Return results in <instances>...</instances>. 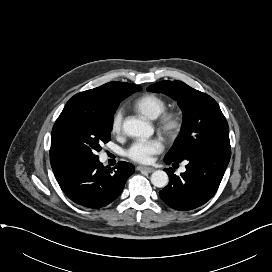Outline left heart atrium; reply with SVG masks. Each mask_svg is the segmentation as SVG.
Masks as SVG:
<instances>
[{
    "label": "left heart atrium",
    "mask_w": 272,
    "mask_h": 272,
    "mask_svg": "<svg viewBox=\"0 0 272 272\" xmlns=\"http://www.w3.org/2000/svg\"><path fill=\"white\" fill-rule=\"evenodd\" d=\"M162 150L163 143L160 139H140L130 145L126 150V156L132 161L147 164Z\"/></svg>",
    "instance_id": "39dd6f15"
}]
</instances>
